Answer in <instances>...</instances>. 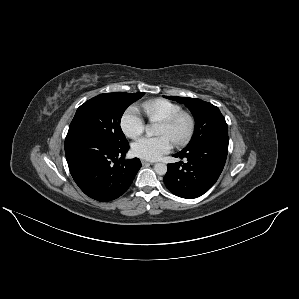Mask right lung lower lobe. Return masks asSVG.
<instances>
[{
  "instance_id": "98d812e1",
  "label": "right lung lower lobe",
  "mask_w": 299,
  "mask_h": 299,
  "mask_svg": "<svg viewBox=\"0 0 299 299\" xmlns=\"http://www.w3.org/2000/svg\"><path fill=\"white\" fill-rule=\"evenodd\" d=\"M128 149V142L117 145L96 135L65 139L66 159L74 181L87 196L101 202L121 196L140 169L138 158L124 159Z\"/></svg>"
}]
</instances>
